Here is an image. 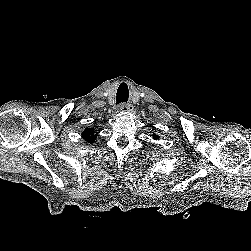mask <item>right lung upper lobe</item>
<instances>
[{"label": "right lung upper lobe", "mask_w": 251, "mask_h": 251, "mask_svg": "<svg viewBox=\"0 0 251 251\" xmlns=\"http://www.w3.org/2000/svg\"><path fill=\"white\" fill-rule=\"evenodd\" d=\"M82 137L88 143H93L95 141V139H96V135H95L94 129L93 128H86L82 132Z\"/></svg>", "instance_id": "obj_1"}]
</instances>
